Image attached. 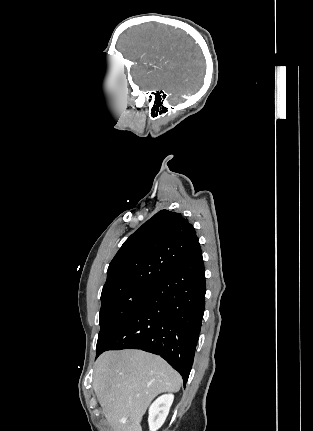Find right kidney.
<instances>
[{
	"label": "right kidney",
	"instance_id": "obj_1",
	"mask_svg": "<svg viewBox=\"0 0 313 431\" xmlns=\"http://www.w3.org/2000/svg\"><path fill=\"white\" fill-rule=\"evenodd\" d=\"M173 400V394H165L151 404L148 417L150 431H157L164 424Z\"/></svg>",
	"mask_w": 313,
	"mask_h": 431
}]
</instances>
